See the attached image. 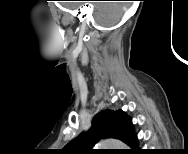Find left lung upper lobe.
Returning <instances> with one entry per match:
<instances>
[{"label":"left lung upper lobe","mask_w":188,"mask_h":154,"mask_svg":"<svg viewBox=\"0 0 188 154\" xmlns=\"http://www.w3.org/2000/svg\"><path fill=\"white\" fill-rule=\"evenodd\" d=\"M130 117L122 110H102L95 115L92 127L68 143L63 150L68 154H89L101 138L124 140Z\"/></svg>","instance_id":"obj_1"}]
</instances>
